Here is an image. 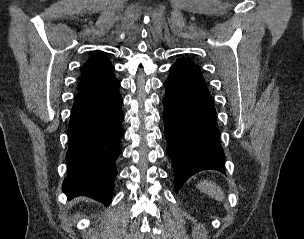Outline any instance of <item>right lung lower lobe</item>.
I'll return each mask as SVG.
<instances>
[{"instance_id": "98d812e1", "label": "right lung lower lobe", "mask_w": 304, "mask_h": 239, "mask_svg": "<svg viewBox=\"0 0 304 239\" xmlns=\"http://www.w3.org/2000/svg\"><path fill=\"white\" fill-rule=\"evenodd\" d=\"M119 86L111 71L77 95L68 127V174L62 186L69 198L83 195L110 204L123 135Z\"/></svg>"}]
</instances>
